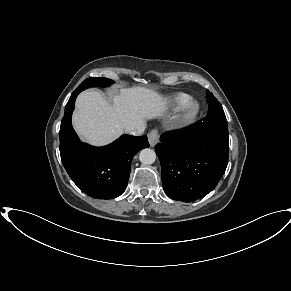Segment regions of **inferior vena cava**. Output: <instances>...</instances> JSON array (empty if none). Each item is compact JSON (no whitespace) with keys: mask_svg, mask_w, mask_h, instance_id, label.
Masks as SVG:
<instances>
[{"mask_svg":"<svg viewBox=\"0 0 291 291\" xmlns=\"http://www.w3.org/2000/svg\"><path fill=\"white\" fill-rule=\"evenodd\" d=\"M145 128H146V125L142 124L136 130L129 131V134L134 135V136H139L144 132Z\"/></svg>","mask_w":291,"mask_h":291,"instance_id":"obj_1","label":"inferior vena cava"}]
</instances>
